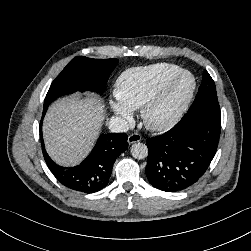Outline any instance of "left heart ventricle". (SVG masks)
Returning a JSON list of instances; mask_svg holds the SVG:
<instances>
[{
  "label": "left heart ventricle",
  "mask_w": 251,
  "mask_h": 251,
  "mask_svg": "<svg viewBox=\"0 0 251 251\" xmlns=\"http://www.w3.org/2000/svg\"><path fill=\"white\" fill-rule=\"evenodd\" d=\"M189 79L182 80L172 93L161 103L153 112L154 119H162L166 117L178 104L185 90L189 86Z\"/></svg>",
  "instance_id": "1"
}]
</instances>
